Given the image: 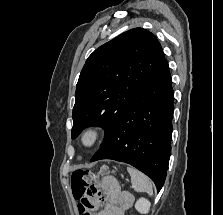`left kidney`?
Masks as SVG:
<instances>
[{"label":"left kidney","instance_id":"obj_1","mask_svg":"<svg viewBox=\"0 0 223 215\" xmlns=\"http://www.w3.org/2000/svg\"><path fill=\"white\" fill-rule=\"evenodd\" d=\"M150 205V201H148V199H145V197H140V199H137L135 203V207L137 211H140V213H148Z\"/></svg>","mask_w":223,"mask_h":215}]
</instances>
